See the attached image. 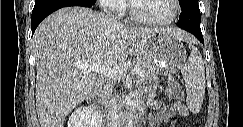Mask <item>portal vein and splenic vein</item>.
Returning <instances> with one entry per match:
<instances>
[{
	"label": "portal vein and splenic vein",
	"instance_id": "18ae733b",
	"mask_svg": "<svg viewBox=\"0 0 243 127\" xmlns=\"http://www.w3.org/2000/svg\"><path fill=\"white\" fill-rule=\"evenodd\" d=\"M79 66L82 68L84 73H89L93 71L105 75L109 78H117V76L122 75V70H120L119 68H114V69L103 68L95 63H85ZM131 74L140 75L141 71L139 68L135 67L131 70Z\"/></svg>",
	"mask_w": 243,
	"mask_h": 127
}]
</instances>
